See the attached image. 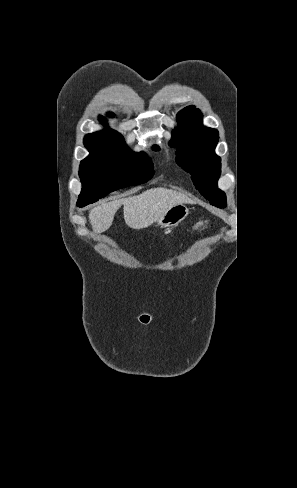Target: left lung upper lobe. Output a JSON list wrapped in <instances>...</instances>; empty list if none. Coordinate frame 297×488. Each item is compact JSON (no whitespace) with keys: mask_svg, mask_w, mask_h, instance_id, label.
<instances>
[{"mask_svg":"<svg viewBox=\"0 0 297 488\" xmlns=\"http://www.w3.org/2000/svg\"><path fill=\"white\" fill-rule=\"evenodd\" d=\"M177 121L169 145L177 148L178 165L191 173L196 189L212 205L225 206V193L217 187L221 173V159L214 152L218 131L202 125V114L194 106L181 110Z\"/></svg>","mask_w":297,"mask_h":488,"instance_id":"1","label":"left lung upper lobe"}]
</instances>
